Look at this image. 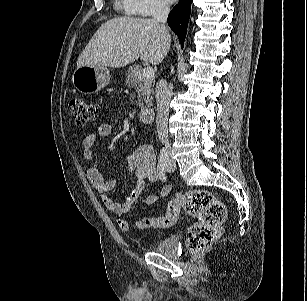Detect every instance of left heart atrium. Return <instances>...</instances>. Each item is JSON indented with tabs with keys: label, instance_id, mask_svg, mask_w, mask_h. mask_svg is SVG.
<instances>
[{
	"label": "left heart atrium",
	"instance_id": "obj_1",
	"mask_svg": "<svg viewBox=\"0 0 307 301\" xmlns=\"http://www.w3.org/2000/svg\"><path fill=\"white\" fill-rule=\"evenodd\" d=\"M168 2L172 3V2H175L176 0H167Z\"/></svg>",
	"mask_w": 307,
	"mask_h": 301
}]
</instances>
